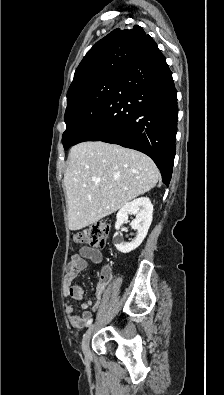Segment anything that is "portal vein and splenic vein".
Returning a JSON list of instances; mask_svg holds the SVG:
<instances>
[{
    "mask_svg": "<svg viewBox=\"0 0 224 395\" xmlns=\"http://www.w3.org/2000/svg\"><path fill=\"white\" fill-rule=\"evenodd\" d=\"M95 182H96V183H99V182H100V180H96Z\"/></svg>",
    "mask_w": 224,
    "mask_h": 395,
    "instance_id": "portal-vein-and-splenic-vein-1",
    "label": "portal vein and splenic vein"
}]
</instances>
